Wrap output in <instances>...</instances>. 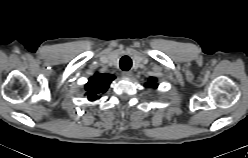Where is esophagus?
Returning a JSON list of instances; mask_svg holds the SVG:
<instances>
[{
  "mask_svg": "<svg viewBox=\"0 0 248 158\" xmlns=\"http://www.w3.org/2000/svg\"><path fill=\"white\" fill-rule=\"evenodd\" d=\"M122 76L124 78H130L132 76V72L131 71H123Z\"/></svg>",
  "mask_w": 248,
  "mask_h": 158,
  "instance_id": "34e87169",
  "label": "esophagus"
}]
</instances>
